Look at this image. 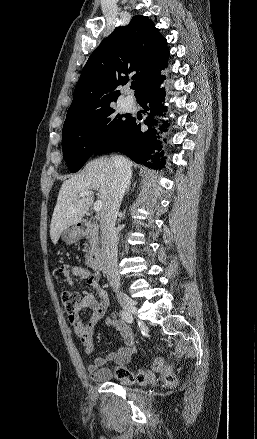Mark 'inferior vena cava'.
Returning <instances> with one entry per match:
<instances>
[{"instance_id":"inferior-vena-cava-1","label":"inferior vena cava","mask_w":257,"mask_h":439,"mask_svg":"<svg viewBox=\"0 0 257 439\" xmlns=\"http://www.w3.org/2000/svg\"><path fill=\"white\" fill-rule=\"evenodd\" d=\"M112 160L115 166V174L106 203L101 212L100 228L104 273L109 284L114 288H118L120 286V276L117 267V231L115 223L124 193L129 186L132 172L130 162L124 157L115 156Z\"/></svg>"}]
</instances>
